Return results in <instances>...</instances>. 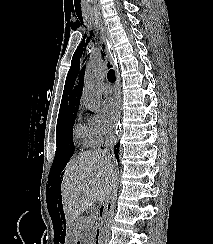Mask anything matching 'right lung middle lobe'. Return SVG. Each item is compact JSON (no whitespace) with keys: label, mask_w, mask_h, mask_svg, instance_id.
I'll list each match as a JSON object with an SVG mask.
<instances>
[{"label":"right lung middle lobe","mask_w":213,"mask_h":244,"mask_svg":"<svg viewBox=\"0 0 213 244\" xmlns=\"http://www.w3.org/2000/svg\"><path fill=\"white\" fill-rule=\"evenodd\" d=\"M77 109L65 112L58 117L56 129V155L49 173V181H54L74 153L73 124ZM48 181V182H49Z\"/></svg>","instance_id":"dd1d6c3e"}]
</instances>
